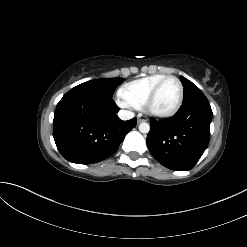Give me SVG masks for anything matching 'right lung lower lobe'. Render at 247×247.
Wrapping results in <instances>:
<instances>
[{
  "instance_id": "obj_1",
  "label": "right lung lower lobe",
  "mask_w": 247,
  "mask_h": 247,
  "mask_svg": "<svg viewBox=\"0 0 247 247\" xmlns=\"http://www.w3.org/2000/svg\"><path fill=\"white\" fill-rule=\"evenodd\" d=\"M110 96L69 91L57 104L53 137L62 156L73 163L92 164L114 154L136 118L122 121Z\"/></svg>"
}]
</instances>
